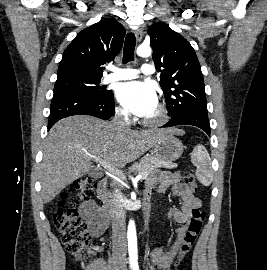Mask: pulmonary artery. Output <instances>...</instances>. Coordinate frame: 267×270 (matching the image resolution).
I'll return each mask as SVG.
<instances>
[{
    "label": "pulmonary artery",
    "instance_id": "obj_1",
    "mask_svg": "<svg viewBox=\"0 0 267 270\" xmlns=\"http://www.w3.org/2000/svg\"><path fill=\"white\" fill-rule=\"evenodd\" d=\"M111 70L112 73L104 78L105 82L134 79L139 73L144 75H152L154 73V67L151 64H143L139 70L133 68L116 67H112Z\"/></svg>",
    "mask_w": 267,
    "mask_h": 270
}]
</instances>
